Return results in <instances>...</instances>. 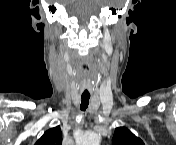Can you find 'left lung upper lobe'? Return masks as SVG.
Masks as SVG:
<instances>
[{"instance_id":"obj_1","label":"left lung upper lobe","mask_w":176,"mask_h":145,"mask_svg":"<svg viewBox=\"0 0 176 145\" xmlns=\"http://www.w3.org/2000/svg\"><path fill=\"white\" fill-rule=\"evenodd\" d=\"M113 145H144L143 141L136 137L129 129L118 127L112 140Z\"/></svg>"}]
</instances>
